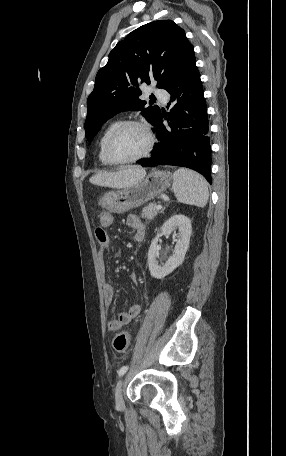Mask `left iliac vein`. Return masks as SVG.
Wrapping results in <instances>:
<instances>
[{"label":"left iliac vein","mask_w":286,"mask_h":456,"mask_svg":"<svg viewBox=\"0 0 286 456\" xmlns=\"http://www.w3.org/2000/svg\"><path fill=\"white\" fill-rule=\"evenodd\" d=\"M122 386L123 380H119L116 388H115V402L118 408H122L124 406L123 396H122Z\"/></svg>","instance_id":"left-iliac-vein-1"}]
</instances>
